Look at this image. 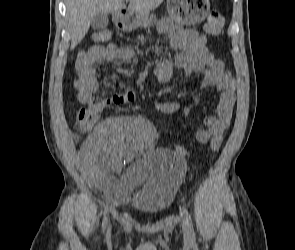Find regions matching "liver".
Segmentation results:
<instances>
[{"mask_svg": "<svg viewBox=\"0 0 295 250\" xmlns=\"http://www.w3.org/2000/svg\"><path fill=\"white\" fill-rule=\"evenodd\" d=\"M128 0H66L68 27L71 34V49H74L87 34L92 18L97 14L121 12ZM164 0H129L128 11L151 12Z\"/></svg>", "mask_w": 295, "mask_h": 250, "instance_id": "obj_1", "label": "liver"}]
</instances>
